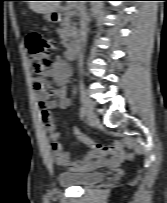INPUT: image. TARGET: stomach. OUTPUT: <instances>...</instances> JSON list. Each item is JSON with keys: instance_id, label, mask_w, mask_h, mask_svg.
Listing matches in <instances>:
<instances>
[{"instance_id": "stomach-1", "label": "stomach", "mask_w": 167, "mask_h": 203, "mask_svg": "<svg viewBox=\"0 0 167 203\" xmlns=\"http://www.w3.org/2000/svg\"><path fill=\"white\" fill-rule=\"evenodd\" d=\"M45 19L48 20V21H51V20H52V15H51V13H47V14L45 15Z\"/></svg>"}]
</instances>
